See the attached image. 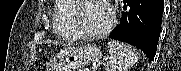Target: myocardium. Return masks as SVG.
<instances>
[{"label": "myocardium", "mask_w": 181, "mask_h": 71, "mask_svg": "<svg viewBox=\"0 0 181 71\" xmlns=\"http://www.w3.org/2000/svg\"><path fill=\"white\" fill-rule=\"evenodd\" d=\"M64 1L72 4V12L70 15V26L76 38L78 39L97 40V39L103 38L107 36L108 34H110L117 24V14H116L115 7L107 0H100L109 9V12L111 15L109 24L103 30L99 32L92 33V32L81 30L78 26V16L81 11V4L79 0H64Z\"/></svg>", "instance_id": "myocardium-1"}]
</instances>
